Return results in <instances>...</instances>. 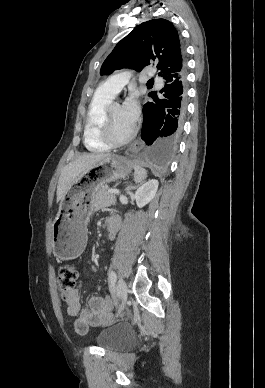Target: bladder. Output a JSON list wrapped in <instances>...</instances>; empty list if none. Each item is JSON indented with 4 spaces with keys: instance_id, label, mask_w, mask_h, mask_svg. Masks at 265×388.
I'll return each mask as SVG.
<instances>
[{
    "instance_id": "1",
    "label": "bladder",
    "mask_w": 265,
    "mask_h": 388,
    "mask_svg": "<svg viewBox=\"0 0 265 388\" xmlns=\"http://www.w3.org/2000/svg\"><path fill=\"white\" fill-rule=\"evenodd\" d=\"M132 331L129 326L112 325L99 333L96 338L101 347L122 349L129 346Z\"/></svg>"
}]
</instances>
